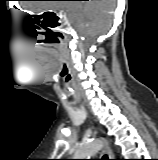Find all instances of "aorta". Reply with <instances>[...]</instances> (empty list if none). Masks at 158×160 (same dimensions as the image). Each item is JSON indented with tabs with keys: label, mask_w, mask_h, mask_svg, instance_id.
<instances>
[{
	"label": "aorta",
	"mask_w": 158,
	"mask_h": 160,
	"mask_svg": "<svg viewBox=\"0 0 158 160\" xmlns=\"http://www.w3.org/2000/svg\"><path fill=\"white\" fill-rule=\"evenodd\" d=\"M103 146L102 140H93L83 144L74 154V159H90Z\"/></svg>",
	"instance_id": "aorta-1"
}]
</instances>
